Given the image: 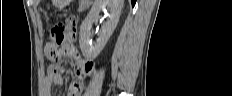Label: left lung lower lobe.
<instances>
[{
    "instance_id": "obj_1",
    "label": "left lung lower lobe",
    "mask_w": 232,
    "mask_h": 96,
    "mask_svg": "<svg viewBox=\"0 0 232 96\" xmlns=\"http://www.w3.org/2000/svg\"><path fill=\"white\" fill-rule=\"evenodd\" d=\"M131 2H132V6H134L135 5V0H131Z\"/></svg>"
}]
</instances>
